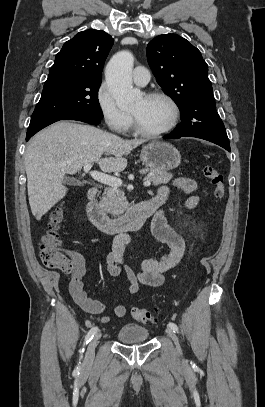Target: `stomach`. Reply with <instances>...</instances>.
I'll return each mask as SVG.
<instances>
[{"label": "stomach", "instance_id": "1", "mask_svg": "<svg viewBox=\"0 0 265 407\" xmlns=\"http://www.w3.org/2000/svg\"><path fill=\"white\" fill-rule=\"evenodd\" d=\"M141 160L152 170L168 171L181 163L179 151L170 143L152 141L142 148Z\"/></svg>", "mask_w": 265, "mask_h": 407}]
</instances>
